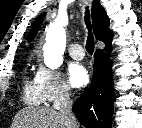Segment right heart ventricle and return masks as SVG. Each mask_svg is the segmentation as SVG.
<instances>
[{
  "label": "right heart ventricle",
  "instance_id": "e07e8e85",
  "mask_svg": "<svg viewBox=\"0 0 142 128\" xmlns=\"http://www.w3.org/2000/svg\"><path fill=\"white\" fill-rule=\"evenodd\" d=\"M23 96L26 103L30 105H39L43 102L42 97L39 93L36 80L27 78L24 84Z\"/></svg>",
  "mask_w": 142,
  "mask_h": 128
}]
</instances>
